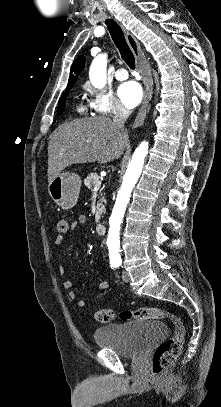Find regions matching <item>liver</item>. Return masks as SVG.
<instances>
[{
    "mask_svg": "<svg viewBox=\"0 0 221 407\" xmlns=\"http://www.w3.org/2000/svg\"><path fill=\"white\" fill-rule=\"evenodd\" d=\"M129 145L126 130L107 117L74 119L60 125L48 143V182L72 164L118 159Z\"/></svg>",
    "mask_w": 221,
    "mask_h": 407,
    "instance_id": "1",
    "label": "liver"
}]
</instances>
